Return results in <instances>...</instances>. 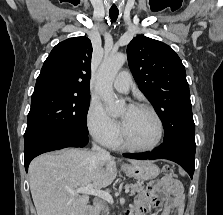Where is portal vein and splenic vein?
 <instances>
[{
    "label": "portal vein and splenic vein",
    "instance_id": "portal-vein-and-splenic-vein-1",
    "mask_svg": "<svg viewBox=\"0 0 223 215\" xmlns=\"http://www.w3.org/2000/svg\"><path fill=\"white\" fill-rule=\"evenodd\" d=\"M125 194L129 193V189L126 187ZM70 193H91V195H98V197H102V199H106L109 203H114L112 195H110L109 191H102V189H93L92 183H87L86 187H78V189H71Z\"/></svg>",
    "mask_w": 223,
    "mask_h": 215
}]
</instances>
